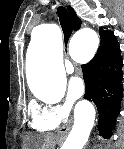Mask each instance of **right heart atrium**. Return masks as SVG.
<instances>
[{
	"label": "right heart atrium",
	"mask_w": 124,
	"mask_h": 149,
	"mask_svg": "<svg viewBox=\"0 0 124 149\" xmlns=\"http://www.w3.org/2000/svg\"><path fill=\"white\" fill-rule=\"evenodd\" d=\"M69 103L54 105L33 103L31 105V124L38 130H53L69 115Z\"/></svg>",
	"instance_id": "right-heart-atrium-1"
}]
</instances>
